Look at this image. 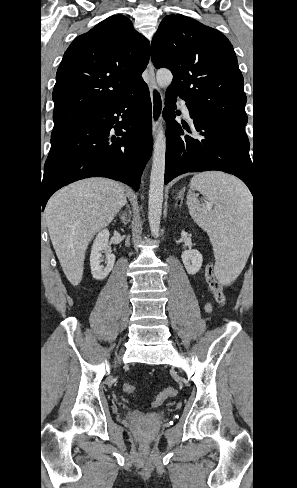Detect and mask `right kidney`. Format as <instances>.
<instances>
[{"mask_svg":"<svg viewBox=\"0 0 297 488\" xmlns=\"http://www.w3.org/2000/svg\"><path fill=\"white\" fill-rule=\"evenodd\" d=\"M110 233L107 229L101 230L96 236L90 254L91 273L94 279H105L115 264V255L111 253L108 245ZM102 252L105 253L106 266L100 265Z\"/></svg>","mask_w":297,"mask_h":488,"instance_id":"right-kidney-1","label":"right kidney"}]
</instances>
